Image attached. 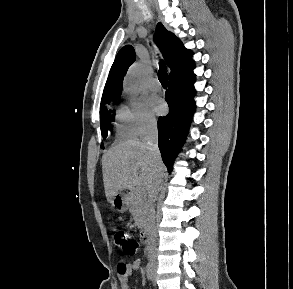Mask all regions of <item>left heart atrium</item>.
Listing matches in <instances>:
<instances>
[{"instance_id": "39dd6f15", "label": "left heart atrium", "mask_w": 293, "mask_h": 289, "mask_svg": "<svg viewBox=\"0 0 293 289\" xmlns=\"http://www.w3.org/2000/svg\"><path fill=\"white\" fill-rule=\"evenodd\" d=\"M152 108L156 114H163L165 111V103L157 97H154L151 101Z\"/></svg>"}]
</instances>
